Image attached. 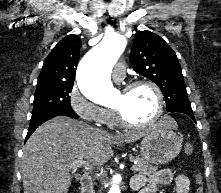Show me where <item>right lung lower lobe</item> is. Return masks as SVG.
I'll return each instance as SVG.
<instances>
[{
  "instance_id": "1",
  "label": "right lung lower lobe",
  "mask_w": 221,
  "mask_h": 193,
  "mask_svg": "<svg viewBox=\"0 0 221 193\" xmlns=\"http://www.w3.org/2000/svg\"><path fill=\"white\" fill-rule=\"evenodd\" d=\"M59 115L69 116L72 118L79 117L73 110H52V111H47L36 116H32L31 121H30V126L28 128L26 140L30 137V135L36 130V128L39 125Z\"/></svg>"
}]
</instances>
